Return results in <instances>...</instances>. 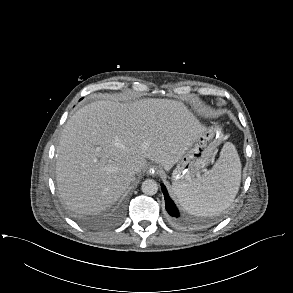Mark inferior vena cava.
Returning a JSON list of instances; mask_svg holds the SVG:
<instances>
[{"label": "inferior vena cava", "mask_w": 293, "mask_h": 293, "mask_svg": "<svg viewBox=\"0 0 293 293\" xmlns=\"http://www.w3.org/2000/svg\"><path fill=\"white\" fill-rule=\"evenodd\" d=\"M130 170H131V172L132 173H138V172H140L141 171V166L139 165V164H137V163H135V164H132V166L130 167Z\"/></svg>", "instance_id": "inferior-vena-cava-1"}]
</instances>
